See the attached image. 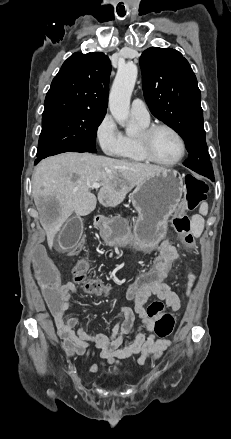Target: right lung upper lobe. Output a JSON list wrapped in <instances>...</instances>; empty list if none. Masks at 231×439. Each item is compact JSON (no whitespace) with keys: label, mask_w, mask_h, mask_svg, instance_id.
Masks as SVG:
<instances>
[{"label":"right lung upper lobe","mask_w":231,"mask_h":439,"mask_svg":"<svg viewBox=\"0 0 231 439\" xmlns=\"http://www.w3.org/2000/svg\"><path fill=\"white\" fill-rule=\"evenodd\" d=\"M111 63L101 52L72 54L54 77L43 117L85 111L106 114Z\"/></svg>","instance_id":"1"}]
</instances>
